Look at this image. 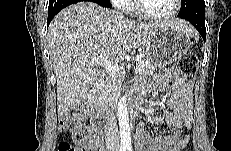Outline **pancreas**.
<instances>
[{
  "label": "pancreas",
  "mask_w": 231,
  "mask_h": 151,
  "mask_svg": "<svg viewBox=\"0 0 231 151\" xmlns=\"http://www.w3.org/2000/svg\"><path fill=\"white\" fill-rule=\"evenodd\" d=\"M157 68L158 66L152 63L144 54L142 55L141 61L137 63L136 72L140 75H147L154 73ZM122 81L121 73L110 72L108 74L105 82L101 85L99 90L98 99L102 106L117 99L120 94Z\"/></svg>",
  "instance_id": "1"
}]
</instances>
